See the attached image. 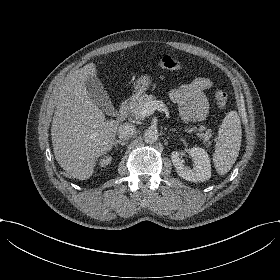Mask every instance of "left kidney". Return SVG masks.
<instances>
[{"label": "left kidney", "mask_w": 280, "mask_h": 280, "mask_svg": "<svg viewBox=\"0 0 280 280\" xmlns=\"http://www.w3.org/2000/svg\"><path fill=\"white\" fill-rule=\"evenodd\" d=\"M189 155L193 164L192 168L186 165V162L179 157L178 152L172 154V162L178 175L192 182L209 180L212 170L207 151L202 147L194 146Z\"/></svg>", "instance_id": "5707ae66"}]
</instances>
